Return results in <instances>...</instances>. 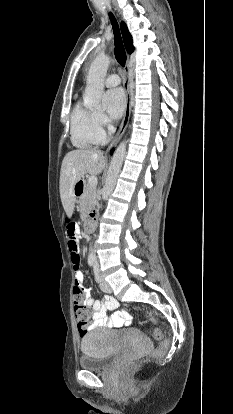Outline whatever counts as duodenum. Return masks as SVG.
Here are the masks:
<instances>
[{"instance_id": "obj_1", "label": "duodenum", "mask_w": 233, "mask_h": 414, "mask_svg": "<svg viewBox=\"0 0 233 414\" xmlns=\"http://www.w3.org/2000/svg\"><path fill=\"white\" fill-rule=\"evenodd\" d=\"M76 187H81V190H82V193H83V190H84V184H83V182H82V181H78V182L75 184V187H74V192H75V190H76ZM95 218H96V214H95V212H90V213L87 215V217L85 218L84 223H83V228H84V230H85L86 232H90V231H92V229H93V225H94V221H95Z\"/></svg>"}]
</instances>
